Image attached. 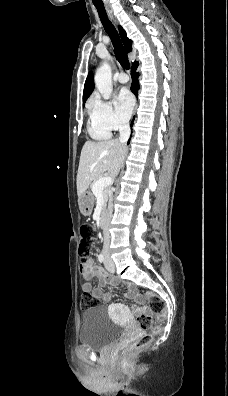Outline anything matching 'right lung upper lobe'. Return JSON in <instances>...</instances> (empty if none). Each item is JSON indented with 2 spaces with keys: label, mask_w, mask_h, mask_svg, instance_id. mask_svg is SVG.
Here are the masks:
<instances>
[{
  "label": "right lung upper lobe",
  "mask_w": 228,
  "mask_h": 396,
  "mask_svg": "<svg viewBox=\"0 0 228 396\" xmlns=\"http://www.w3.org/2000/svg\"><path fill=\"white\" fill-rule=\"evenodd\" d=\"M118 29L126 52H130L132 50V41L127 38L126 32L121 26H119ZM93 89H94V81L92 75L89 74L84 86L83 101L87 100V98L92 93Z\"/></svg>",
  "instance_id": "cb5924a9"
}]
</instances>
